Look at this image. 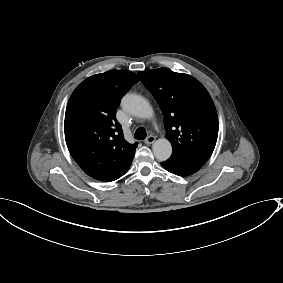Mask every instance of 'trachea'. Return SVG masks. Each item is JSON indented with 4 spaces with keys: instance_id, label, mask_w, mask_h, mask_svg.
Returning a JSON list of instances; mask_svg holds the SVG:
<instances>
[{
    "instance_id": "1",
    "label": "trachea",
    "mask_w": 283,
    "mask_h": 283,
    "mask_svg": "<svg viewBox=\"0 0 283 283\" xmlns=\"http://www.w3.org/2000/svg\"><path fill=\"white\" fill-rule=\"evenodd\" d=\"M146 130L144 127H139L137 128V130L135 131L134 137L138 140H143L146 138Z\"/></svg>"
}]
</instances>
